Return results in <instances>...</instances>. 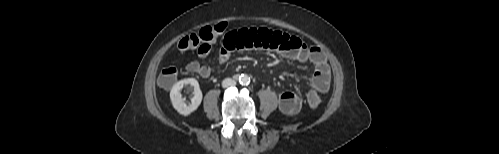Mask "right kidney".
<instances>
[{
    "mask_svg": "<svg viewBox=\"0 0 499 154\" xmlns=\"http://www.w3.org/2000/svg\"><path fill=\"white\" fill-rule=\"evenodd\" d=\"M185 85H190L191 87H193V97L191 98L190 104H187L184 101L185 99L182 98L180 92ZM202 98L203 95L202 91L200 90L199 83L194 78H186L178 81L170 91V99L173 107L177 110L178 113L184 116H188L192 112H194L201 104Z\"/></svg>",
    "mask_w": 499,
    "mask_h": 154,
    "instance_id": "right-kidney-1",
    "label": "right kidney"
}]
</instances>
